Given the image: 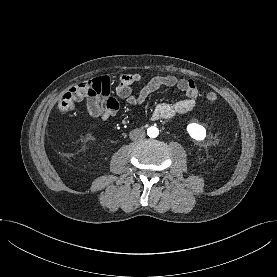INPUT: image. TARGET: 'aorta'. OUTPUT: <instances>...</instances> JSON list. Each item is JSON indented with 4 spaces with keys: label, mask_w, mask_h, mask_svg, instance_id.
I'll return each mask as SVG.
<instances>
[{
    "label": "aorta",
    "mask_w": 277,
    "mask_h": 277,
    "mask_svg": "<svg viewBox=\"0 0 277 277\" xmlns=\"http://www.w3.org/2000/svg\"><path fill=\"white\" fill-rule=\"evenodd\" d=\"M147 134H148V136H149V137H151V138H155V137H157V136H158V134H159V130H158V128H157V127H155V126H151V127H149V128H148V130H147Z\"/></svg>",
    "instance_id": "obj_1"
}]
</instances>
